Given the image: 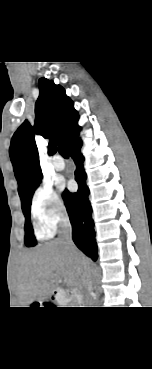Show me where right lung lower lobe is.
<instances>
[{"label":"right lung lower lobe","mask_w":152,"mask_h":369,"mask_svg":"<svg viewBox=\"0 0 152 369\" xmlns=\"http://www.w3.org/2000/svg\"><path fill=\"white\" fill-rule=\"evenodd\" d=\"M82 141L75 139L68 151L76 164L75 180L79 188L76 193L67 190L63 193V199L72 224V237L76 246L87 256L96 260L97 245L95 241L94 223L91 217L92 208L88 200L89 188L86 185V173L83 168L84 157L80 153Z\"/></svg>","instance_id":"obj_1"}]
</instances>
